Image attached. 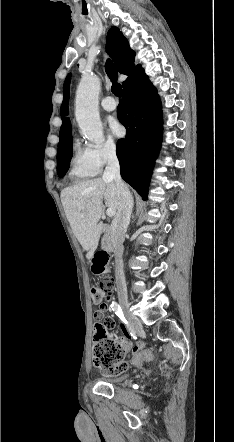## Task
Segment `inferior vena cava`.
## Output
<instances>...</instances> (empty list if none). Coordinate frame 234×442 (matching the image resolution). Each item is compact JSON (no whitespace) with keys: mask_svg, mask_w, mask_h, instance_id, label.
<instances>
[{"mask_svg":"<svg viewBox=\"0 0 234 442\" xmlns=\"http://www.w3.org/2000/svg\"><path fill=\"white\" fill-rule=\"evenodd\" d=\"M107 165L103 173V179L114 181L119 190L120 203L116 216L111 224V239L115 254V278L118 290V296L127 299V287L123 271V242L127 227L130 223V217L133 210V197L128 187L120 176V165L116 156L115 148H109L106 152Z\"/></svg>","mask_w":234,"mask_h":442,"instance_id":"obj_1","label":"inferior vena cava"}]
</instances>
